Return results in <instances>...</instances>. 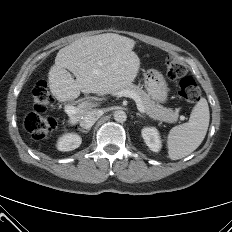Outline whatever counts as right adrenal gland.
<instances>
[{"label": "right adrenal gland", "instance_id": "2a0ac1e0", "mask_svg": "<svg viewBox=\"0 0 232 232\" xmlns=\"http://www.w3.org/2000/svg\"><path fill=\"white\" fill-rule=\"evenodd\" d=\"M78 130L80 131V132H82V133H85V134H87L90 130H91V128H89V129H86V130H84V129H81V128H78Z\"/></svg>", "mask_w": 232, "mask_h": 232}]
</instances>
